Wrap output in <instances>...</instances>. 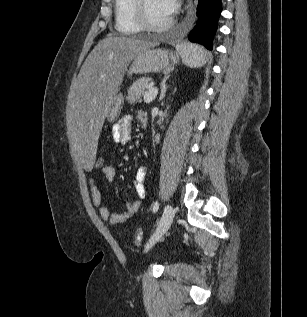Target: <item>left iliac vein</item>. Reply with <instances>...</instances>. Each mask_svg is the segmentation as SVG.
I'll use <instances>...</instances> for the list:
<instances>
[{
    "mask_svg": "<svg viewBox=\"0 0 307 317\" xmlns=\"http://www.w3.org/2000/svg\"><path fill=\"white\" fill-rule=\"evenodd\" d=\"M174 215H175L174 208L171 205H167L164 209L161 220L148 243V247L152 246L155 242H157L164 235V233L169 229V227L171 226L173 222Z\"/></svg>",
    "mask_w": 307,
    "mask_h": 317,
    "instance_id": "4c4485c4",
    "label": "left iliac vein"
}]
</instances>
